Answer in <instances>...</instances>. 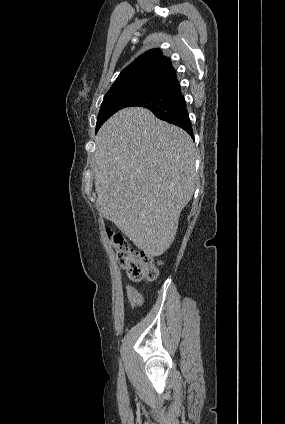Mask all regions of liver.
I'll use <instances>...</instances> for the list:
<instances>
[{"label":"liver","instance_id":"liver-1","mask_svg":"<svg viewBox=\"0 0 285 424\" xmlns=\"http://www.w3.org/2000/svg\"><path fill=\"white\" fill-rule=\"evenodd\" d=\"M97 205L150 256L171 245L195 190V147L183 129L141 107L120 110L95 137Z\"/></svg>","mask_w":285,"mask_h":424}]
</instances>
